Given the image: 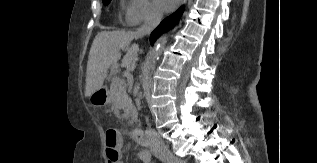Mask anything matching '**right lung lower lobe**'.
<instances>
[{
    "mask_svg": "<svg viewBox=\"0 0 317 163\" xmlns=\"http://www.w3.org/2000/svg\"><path fill=\"white\" fill-rule=\"evenodd\" d=\"M183 12V7H181L178 11H176L174 14L170 15L169 17L165 18L157 27L156 30H154L150 36V43L153 45L154 41L164 32L172 29L175 24L178 23L181 14Z\"/></svg>",
    "mask_w": 317,
    "mask_h": 163,
    "instance_id": "98d812e1",
    "label": "right lung lower lobe"
}]
</instances>
